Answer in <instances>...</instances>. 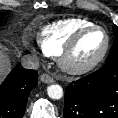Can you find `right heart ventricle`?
<instances>
[{"instance_id":"e07e8e85","label":"right heart ventricle","mask_w":118,"mask_h":118,"mask_svg":"<svg viewBox=\"0 0 118 118\" xmlns=\"http://www.w3.org/2000/svg\"><path fill=\"white\" fill-rule=\"evenodd\" d=\"M91 25L94 23L85 18H68L53 22L44 26L38 34V46L44 55L58 56L76 32Z\"/></svg>"}]
</instances>
